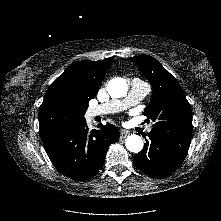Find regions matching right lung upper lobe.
<instances>
[{
    "instance_id": "right-lung-upper-lobe-1",
    "label": "right lung upper lobe",
    "mask_w": 221,
    "mask_h": 221,
    "mask_svg": "<svg viewBox=\"0 0 221 221\" xmlns=\"http://www.w3.org/2000/svg\"><path fill=\"white\" fill-rule=\"evenodd\" d=\"M111 63L112 58L74 62L50 85L39 108V132L44 146L85 120L88 102L96 96Z\"/></svg>"
}]
</instances>
